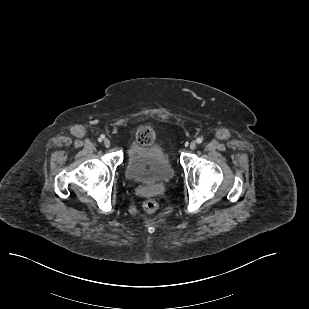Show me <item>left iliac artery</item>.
<instances>
[{
  "label": "left iliac artery",
  "mask_w": 309,
  "mask_h": 309,
  "mask_svg": "<svg viewBox=\"0 0 309 309\" xmlns=\"http://www.w3.org/2000/svg\"><path fill=\"white\" fill-rule=\"evenodd\" d=\"M202 141H203V139H202L201 137H198V138L196 139V142H197L198 144L202 143Z\"/></svg>",
  "instance_id": "obj_1"
}]
</instances>
